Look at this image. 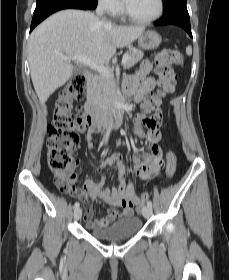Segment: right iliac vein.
Segmentation results:
<instances>
[{
  "label": "right iliac vein",
  "mask_w": 229,
  "mask_h": 280,
  "mask_svg": "<svg viewBox=\"0 0 229 280\" xmlns=\"http://www.w3.org/2000/svg\"><path fill=\"white\" fill-rule=\"evenodd\" d=\"M82 216V209L81 208H76L74 210V219L79 220Z\"/></svg>",
  "instance_id": "1"
}]
</instances>
